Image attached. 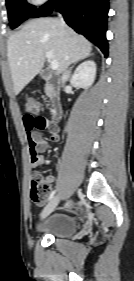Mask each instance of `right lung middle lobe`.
Segmentation results:
<instances>
[{"instance_id":"obj_1","label":"right lung middle lobe","mask_w":134,"mask_h":281,"mask_svg":"<svg viewBox=\"0 0 134 281\" xmlns=\"http://www.w3.org/2000/svg\"><path fill=\"white\" fill-rule=\"evenodd\" d=\"M8 17L12 28H16L35 11V6L25 0H6Z\"/></svg>"}]
</instances>
